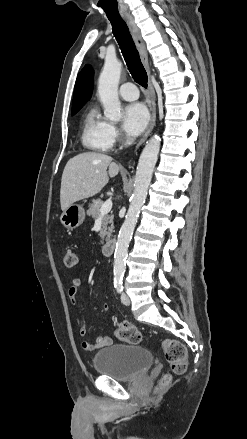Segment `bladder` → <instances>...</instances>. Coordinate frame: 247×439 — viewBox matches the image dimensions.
<instances>
[{"instance_id": "bladder-1", "label": "bladder", "mask_w": 247, "mask_h": 439, "mask_svg": "<svg viewBox=\"0 0 247 439\" xmlns=\"http://www.w3.org/2000/svg\"><path fill=\"white\" fill-rule=\"evenodd\" d=\"M153 363L149 350L137 345L112 344L93 358L95 371L119 381H133L147 372Z\"/></svg>"}]
</instances>
